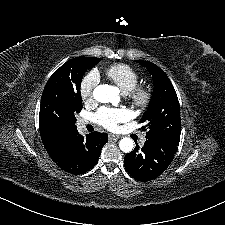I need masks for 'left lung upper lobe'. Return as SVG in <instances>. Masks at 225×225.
Here are the masks:
<instances>
[{"label":"left lung upper lobe","mask_w":225,"mask_h":225,"mask_svg":"<svg viewBox=\"0 0 225 225\" xmlns=\"http://www.w3.org/2000/svg\"><path fill=\"white\" fill-rule=\"evenodd\" d=\"M145 66L153 78V94L140 123L147 128L146 139L162 140L179 145L181 119L179 101L168 76L149 61L136 60Z\"/></svg>","instance_id":"left-lung-upper-lobe-1"}]
</instances>
